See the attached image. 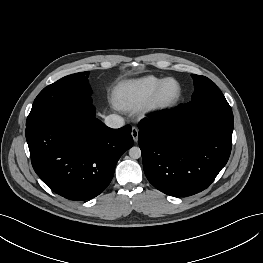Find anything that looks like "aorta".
<instances>
[{
    "label": "aorta",
    "instance_id": "762f6f07",
    "mask_svg": "<svg viewBox=\"0 0 263 263\" xmlns=\"http://www.w3.org/2000/svg\"><path fill=\"white\" fill-rule=\"evenodd\" d=\"M129 156L132 159H138L141 157V150L139 147L133 146L132 148L129 149Z\"/></svg>",
    "mask_w": 263,
    "mask_h": 263
}]
</instances>
